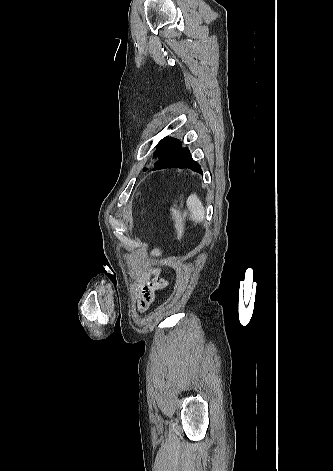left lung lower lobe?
Here are the masks:
<instances>
[{"label": "left lung lower lobe", "instance_id": "0a47b994", "mask_svg": "<svg viewBox=\"0 0 333 471\" xmlns=\"http://www.w3.org/2000/svg\"><path fill=\"white\" fill-rule=\"evenodd\" d=\"M168 165L170 167L189 168L195 172L203 174L201 166L192 159L191 153L187 147L177 152L170 159Z\"/></svg>", "mask_w": 333, "mask_h": 471}]
</instances>
